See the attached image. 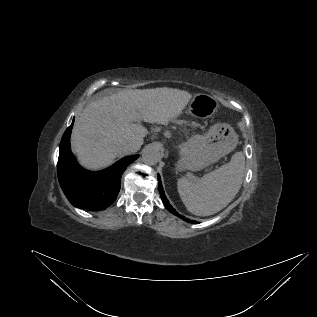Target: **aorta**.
<instances>
[{
	"label": "aorta",
	"instance_id": "762f6f07",
	"mask_svg": "<svg viewBox=\"0 0 317 317\" xmlns=\"http://www.w3.org/2000/svg\"><path fill=\"white\" fill-rule=\"evenodd\" d=\"M161 158L160 151L155 146L149 145L144 148L142 159L147 165H156Z\"/></svg>",
	"mask_w": 317,
	"mask_h": 317
}]
</instances>
